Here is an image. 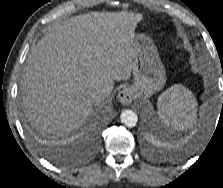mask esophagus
I'll return each instance as SVG.
<instances>
[{
    "instance_id": "1",
    "label": "esophagus",
    "mask_w": 223,
    "mask_h": 188,
    "mask_svg": "<svg viewBox=\"0 0 223 188\" xmlns=\"http://www.w3.org/2000/svg\"><path fill=\"white\" fill-rule=\"evenodd\" d=\"M118 101L123 105H129L132 102L133 95L130 88H123L117 95Z\"/></svg>"
}]
</instances>
